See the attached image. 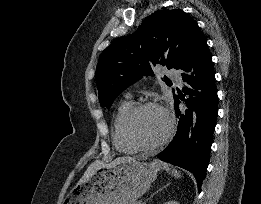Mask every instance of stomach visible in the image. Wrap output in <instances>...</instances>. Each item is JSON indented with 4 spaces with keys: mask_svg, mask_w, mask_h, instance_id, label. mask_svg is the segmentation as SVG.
Instances as JSON below:
<instances>
[{
    "mask_svg": "<svg viewBox=\"0 0 261 204\" xmlns=\"http://www.w3.org/2000/svg\"><path fill=\"white\" fill-rule=\"evenodd\" d=\"M161 164L130 160L101 167L85 183L77 184L63 204H136L157 178Z\"/></svg>",
    "mask_w": 261,
    "mask_h": 204,
    "instance_id": "obj_1",
    "label": "stomach"
}]
</instances>
